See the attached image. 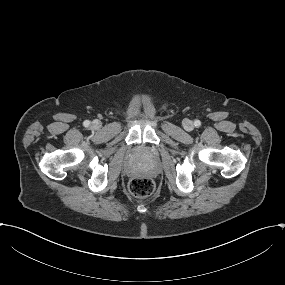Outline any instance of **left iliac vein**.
<instances>
[{
    "label": "left iliac vein",
    "instance_id": "1",
    "mask_svg": "<svg viewBox=\"0 0 285 285\" xmlns=\"http://www.w3.org/2000/svg\"><path fill=\"white\" fill-rule=\"evenodd\" d=\"M183 126H184V129H186V130H192L193 129V123L189 119H184Z\"/></svg>",
    "mask_w": 285,
    "mask_h": 285
}]
</instances>
